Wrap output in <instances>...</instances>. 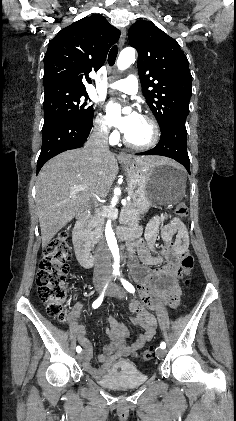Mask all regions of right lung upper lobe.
<instances>
[{"label": "right lung upper lobe", "mask_w": 236, "mask_h": 421, "mask_svg": "<svg viewBox=\"0 0 236 421\" xmlns=\"http://www.w3.org/2000/svg\"><path fill=\"white\" fill-rule=\"evenodd\" d=\"M120 31L101 15H92L62 29L49 43L44 57V88L86 91L88 73L105 62Z\"/></svg>", "instance_id": "1"}]
</instances>
